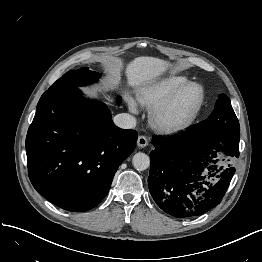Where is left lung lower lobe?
Segmentation results:
<instances>
[{
	"instance_id": "0a47b994",
	"label": "left lung lower lobe",
	"mask_w": 262,
	"mask_h": 262,
	"mask_svg": "<svg viewBox=\"0 0 262 262\" xmlns=\"http://www.w3.org/2000/svg\"><path fill=\"white\" fill-rule=\"evenodd\" d=\"M240 131L205 135L189 130L154 136L148 188L153 200L177 218L204 214L224 197L239 157Z\"/></svg>"
}]
</instances>
